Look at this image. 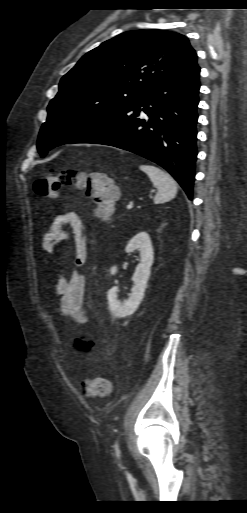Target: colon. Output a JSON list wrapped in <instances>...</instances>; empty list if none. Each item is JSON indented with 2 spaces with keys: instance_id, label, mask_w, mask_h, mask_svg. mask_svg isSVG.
<instances>
[{
  "instance_id": "obj_1",
  "label": "colon",
  "mask_w": 247,
  "mask_h": 513,
  "mask_svg": "<svg viewBox=\"0 0 247 513\" xmlns=\"http://www.w3.org/2000/svg\"><path fill=\"white\" fill-rule=\"evenodd\" d=\"M77 186L87 190L96 205L95 215L109 219L110 212L118 199V192L101 172H79L66 170L47 173L33 184L34 192L42 197H56L63 189ZM110 382L102 377H86L82 381V390L90 398H103L111 393Z\"/></svg>"
}]
</instances>
